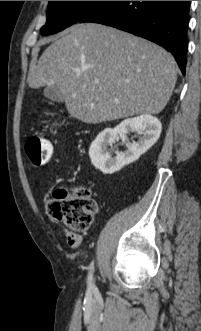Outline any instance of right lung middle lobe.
<instances>
[{"label":"right lung middle lobe","mask_w":201,"mask_h":331,"mask_svg":"<svg viewBox=\"0 0 201 331\" xmlns=\"http://www.w3.org/2000/svg\"><path fill=\"white\" fill-rule=\"evenodd\" d=\"M105 1H49L46 25L41 34L57 33L79 22Z\"/></svg>","instance_id":"obj_1"}]
</instances>
